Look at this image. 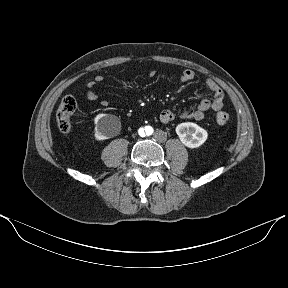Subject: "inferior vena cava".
I'll return each mask as SVG.
<instances>
[{
	"label": "inferior vena cava",
	"mask_w": 288,
	"mask_h": 288,
	"mask_svg": "<svg viewBox=\"0 0 288 288\" xmlns=\"http://www.w3.org/2000/svg\"><path fill=\"white\" fill-rule=\"evenodd\" d=\"M153 139L158 144H163L167 140V132L164 129H157L153 134Z\"/></svg>",
	"instance_id": "1"
}]
</instances>
